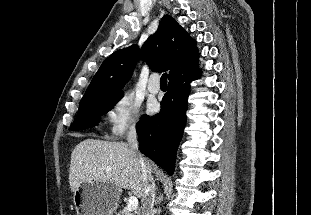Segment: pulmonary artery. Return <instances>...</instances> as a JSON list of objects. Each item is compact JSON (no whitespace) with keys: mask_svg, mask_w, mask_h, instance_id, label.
<instances>
[{"mask_svg":"<svg viewBox=\"0 0 311 215\" xmlns=\"http://www.w3.org/2000/svg\"><path fill=\"white\" fill-rule=\"evenodd\" d=\"M148 90L152 94H157L160 91V86L158 84V76L157 75H152L149 83H148Z\"/></svg>","mask_w":311,"mask_h":215,"instance_id":"1","label":"pulmonary artery"}]
</instances>
